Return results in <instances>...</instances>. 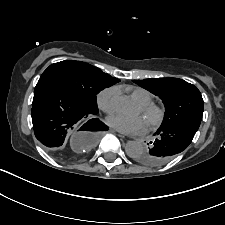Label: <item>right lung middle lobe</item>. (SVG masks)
Returning <instances> with one entry per match:
<instances>
[{
	"label": "right lung middle lobe",
	"instance_id": "right-lung-middle-lobe-1",
	"mask_svg": "<svg viewBox=\"0 0 225 225\" xmlns=\"http://www.w3.org/2000/svg\"><path fill=\"white\" fill-rule=\"evenodd\" d=\"M39 80L57 83L86 108L98 112L96 95L115 82L100 69L81 61L65 60L50 65Z\"/></svg>",
	"mask_w": 225,
	"mask_h": 225
}]
</instances>
